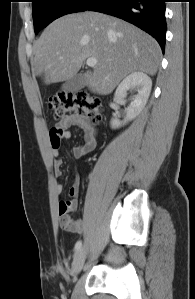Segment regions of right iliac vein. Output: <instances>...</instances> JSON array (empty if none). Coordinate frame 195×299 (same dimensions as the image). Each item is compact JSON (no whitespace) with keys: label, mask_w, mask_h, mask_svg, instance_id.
<instances>
[{"label":"right iliac vein","mask_w":195,"mask_h":299,"mask_svg":"<svg viewBox=\"0 0 195 299\" xmlns=\"http://www.w3.org/2000/svg\"><path fill=\"white\" fill-rule=\"evenodd\" d=\"M85 257H86V247L83 246L82 248H80L77 251V253L74 256L71 270H70L72 277L77 276L80 273V271L82 270V267H83V264L85 261Z\"/></svg>","instance_id":"1"}]
</instances>
